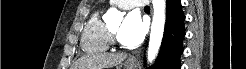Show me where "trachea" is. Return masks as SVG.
<instances>
[{
    "mask_svg": "<svg viewBox=\"0 0 246 69\" xmlns=\"http://www.w3.org/2000/svg\"><path fill=\"white\" fill-rule=\"evenodd\" d=\"M145 9H150V7L149 6H145Z\"/></svg>",
    "mask_w": 246,
    "mask_h": 69,
    "instance_id": "1",
    "label": "trachea"
}]
</instances>
